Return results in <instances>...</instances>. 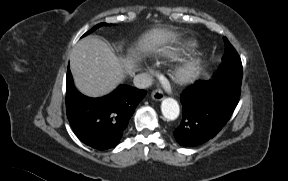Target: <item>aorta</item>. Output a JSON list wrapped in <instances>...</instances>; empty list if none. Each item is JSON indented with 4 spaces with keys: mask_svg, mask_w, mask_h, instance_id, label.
Segmentation results:
<instances>
[{
    "mask_svg": "<svg viewBox=\"0 0 288 181\" xmlns=\"http://www.w3.org/2000/svg\"><path fill=\"white\" fill-rule=\"evenodd\" d=\"M161 111L167 120H175L179 116L180 108L173 98H165L161 103Z\"/></svg>",
    "mask_w": 288,
    "mask_h": 181,
    "instance_id": "obj_1",
    "label": "aorta"
}]
</instances>
